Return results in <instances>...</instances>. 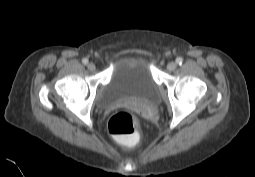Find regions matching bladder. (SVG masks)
<instances>
[{
    "label": "bladder",
    "mask_w": 255,
    "mask_h": 177,
    "mask_svg": "<svg viewBox=\"0 0 255 177\" xmlns=\"http://www.w3.org/2000/svg\"><path fill=\"white\" fill-rule=\"evenodd\" d=\"M130 100L144 104H157L160 100V86L154 78L150 59L144 53H128L119 58L96 104L105 109Z\"/></svg>",
    "instance_id": "31cf9c89"
}]
</instances>
